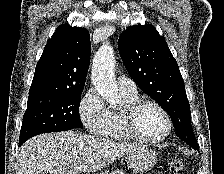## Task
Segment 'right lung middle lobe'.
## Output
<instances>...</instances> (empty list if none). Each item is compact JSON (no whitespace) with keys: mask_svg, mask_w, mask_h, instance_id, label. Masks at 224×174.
Instances as JSON below:
<instances>
[{"mask_svg":"<svg viewBox=\"0 0 224 174\" xmlns=\"http://www.w3.org/2000/svg\"><path fill=\"white\" fill-rule=\"evenodd\" d=\"M81 94L82 91L29 96L19 140L83 127L79 116Z\"/></svg>","mask_w":224,"mask_h":174,"instance_id":"right-lung-middle-lobe-1","label":"right lung middle lobe"}]
</instances>
